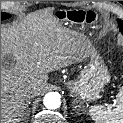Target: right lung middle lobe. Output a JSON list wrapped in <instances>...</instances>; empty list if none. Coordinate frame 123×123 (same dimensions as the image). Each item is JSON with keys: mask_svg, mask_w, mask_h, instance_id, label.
<instances>
[{"mask_svg": "<svg viewBox=\"0 0 123 123\" xmlns=\"http://www.w3.org/2000/svg\"><path fill=\"white\" fill-rule=\"evenodd\" d=\"M10 17V14L7 13H1V20L7 19Z\"/></svg>", "mask_w": 123, "mask_h": 123, "instance_id": "dd1d6c3e", "label": "right lung middle lobe"}]
</instances>
